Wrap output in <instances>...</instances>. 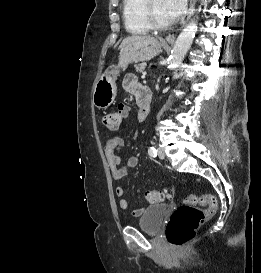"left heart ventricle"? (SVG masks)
Returning <instances> with one entry per match:
<instances>
[{
  "mask_svg": "<svg viewBox=\"0 0 261 273\" xmlns=\"http://www.w3.org/2000/svg\"><path fill=\"white\" fill-rule=\"evenodd\" d=\"M153 10L157 20L161 23L167 24L170 23L168 14L166 12L164 0H154L153 1Z\"/></svg>",
  "mask_w": 261,
  "mask_h": 273,
  "instance_id": "left-heart-ventricle-1",
  "label": "left heart ventricle"
}]
</instances>
